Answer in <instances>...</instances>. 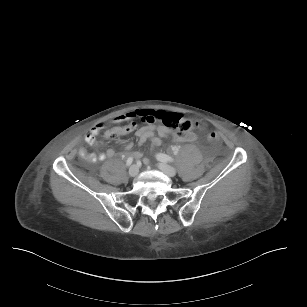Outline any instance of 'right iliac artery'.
Instances as JSON below:
<instances>
[{
	"mask_svg": "<svg viewBox=\"0 0 307 307\" xmlns=\"http://www.w3.org/2000/svg\"><path fill=\"white\" fill-rule=\"evenodd\" d=\"M132 162H133V158H132V157H129V158L127 159V161H126V167H130L131 164H132Z\"/></svg>",
	"mask_w": 307,
	"mask_h": 307,
	"instance_id": "right-iliac-artery-1",
	"label": "right iliac artery"
}]
</instances>
